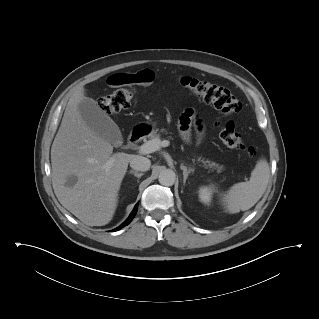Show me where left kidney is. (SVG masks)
Masks as SVG:
<instances>
[{"mask_svg": "<svg viewBox=\"0 0 319 319\" xmlns=\"http://www.w3.org/2000/svg\"><path fill=\"white\" fill-rule=\"evenodd\" d=\"M212 188L207 186H202L199 189L200 201L209 204L211 202Z\"/></svg>", "mask_w": 319, "mask_h": 319, "instance_id": "left-kidney-1", "label": "left kidney"}]
</instances>
